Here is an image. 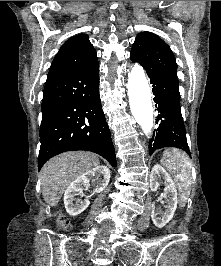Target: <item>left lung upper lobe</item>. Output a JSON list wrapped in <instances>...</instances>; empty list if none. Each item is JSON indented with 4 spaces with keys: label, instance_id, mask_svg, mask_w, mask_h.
Listing matches in <instances>:
<instances>
[{
    "label": "left lung upper lobe",
    "instance_id": "obj_1",
    "mask_svg": "<svg viewBox=\"0 0 221 266\" xmlns=\"http://www.w3.org/2000/svg\"><path fill=\"white\" fill-rule=\"evenodd\" d=\"M130 58L140 63L147 73L177 78V64L170 47L153 33L141 32L137 35Z\"/></svg>",
    "mask_w": 221,
    "mask_h": 266
}]
</instances>
